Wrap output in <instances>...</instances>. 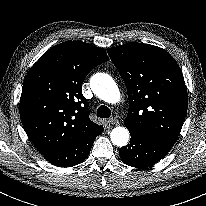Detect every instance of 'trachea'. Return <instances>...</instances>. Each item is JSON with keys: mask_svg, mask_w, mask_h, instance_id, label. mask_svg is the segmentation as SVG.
Returning a JSON list of instances; mask_svg holds the SVG:
<instances>
[{"mask_svg": "<svg viewBox=\"0 0 206 206\" xmlns=\"http://www.w3.org/2000/svg\"><path fill=\"white\" fill-rule=\"evenodd\" d=\"M111 115V110L105 106V105H101L98 109H97V116L100 118H109Z\"/></svg>", "mask_w": 206, "mask_h": 206, "instance_id": "obj_1", "label": "trachea"}]
</instances>
